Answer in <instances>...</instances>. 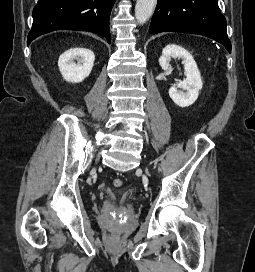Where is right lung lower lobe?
Instances as JSON below:
<instances>
[{
	"instance_id": "1",
	"label": "right lung lower lobe",
	"mask_w": 255,
	"mask_h": 272,
	"mask_svg": "<svg viewBox=\"0 0 255 272\" xmlns=\"http://www.w3.org/2000/svg\"><path fill=\"white\" fill-rule=\"evenodd\" d=\"M115 0H40L33 9L27 44L54 30L98 33L111 42L109 19Z\"/></svg>"
}]
</instances>
